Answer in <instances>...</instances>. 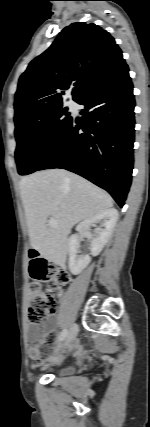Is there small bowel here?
<instances>
[{
	"label": "small bowel",
	"mask_w": 150,
	"mask_h": 427,
	"mask_svg": "<svg viewBox=\"0 0 150 427\" xmlns=\"http://www.w3.org/2000/svg\"><path fill=\"white\" fill-rule=\"evenodd\" d=\"M54 324V319L50 318L41 328L34 327L31 329L30 338L34 344L29 347L28 355L35 360L34 366H38L44 361L52 347Z\"/></svg>",
	"instance_id": "1"
}]
</instances>
